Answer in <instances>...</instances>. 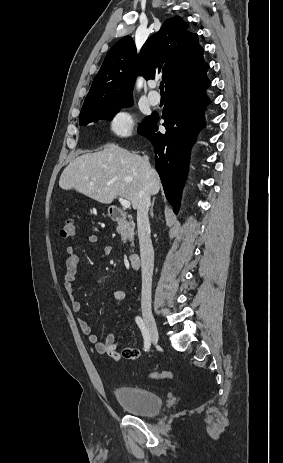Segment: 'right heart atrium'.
<instances>
[{"label": "right heart atrium", "mask_w": 283, "mask_h": 463, "mask_svg": "<svg viewBox=\"0 0 283 463\" xmlns=\"http://www.w3.org/2000/svg\"><path fill=\"white\" fill-rule=\"evenodd\" d=\"M134 127V121L130 113L126 111L115 112L109 120L110 131L119 137L130 136Z\"/></svg>", "instance_id": "obj_1"}]
</instances>
